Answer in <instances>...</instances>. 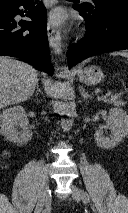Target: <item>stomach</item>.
Returning <instances> with one entry per match:
<instances>
[{
    "label": "stomach",
    "instance_id": "stomach-1",
    "mask_svg": "<svg viewBox=\"0 0 128 213\" xmlns=\"http://www.w3.org/2000/svg\"><path fill=\"white\" fill-rule=\"evenodd\" d=\"M77 75L79 80L87 85H96L104 78L102 70L97 66L79 68Z\"/></svg>",
    "mask_w": 128,
    "mask_h": 213
}]
</instances>
